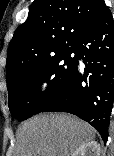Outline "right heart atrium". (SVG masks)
<instances>
[{
	"label": "right heart atrium",
	"mask_w": 114,
	"mask_h": 156,
	"mask_svg": "<svg viewBox=\"0 0 114 156\" xmlns=\"http://www.w3.org/2000/svg\"><path fill=\"white\" fill-rule=\"evenodd\" d=\"M47 86H48L47 80L45 79L41 80L37 86V93L43 94L46 91Z\"/></svg>",
	"instance_id": "d8ad5b80"
}]
</instances>
